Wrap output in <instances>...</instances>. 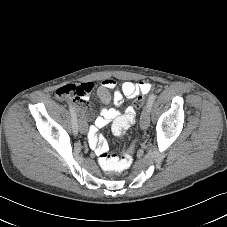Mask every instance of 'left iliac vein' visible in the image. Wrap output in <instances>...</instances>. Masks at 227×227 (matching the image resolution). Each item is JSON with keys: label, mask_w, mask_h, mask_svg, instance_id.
Listing matches in <instances>:
<instances>
[{"label": "left iliac vein", "mask_w": 227, "mask_h": 227, "mask_svg": "<svg viewBox=\"0 0 227 227\" xmlns=\"http://www.w3.org/2000/svg\"><path fill=\"white\" fill-rule=\"evenodd\" d=\"M150 124V109L148 106H145L141 118H140V126L143 130L147 129Z\"/></svg>", "instance_id": "1"}]
</instances>
